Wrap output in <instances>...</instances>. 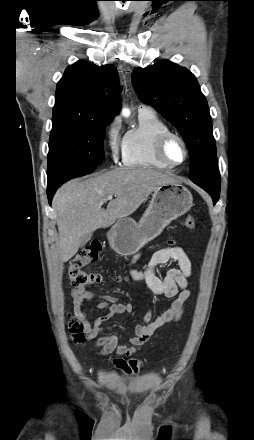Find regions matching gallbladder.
Instances as JSON below:
<instances>
[{
  "label": "gallbladder",
  "instance_id": "obj_1",
  "mask_svg": "<svg viewBox=\"0 0 254 440\" xmlns=\"http://www.w3.org/2000/svg\"><path fill=\"white\" fill-rule=\"evenodd\" d=\"M92 234L91 233H86L81 240V244L80 246L83 247L90 239H91Z\"/></svg>",
  "mask_w": 254,
  "mask_h": 440
}]
</instances>
